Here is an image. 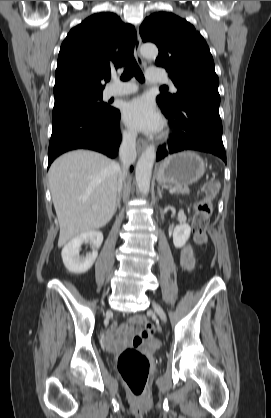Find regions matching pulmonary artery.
<instances>
[{"label": "pulmonary artery", "mask_w": 271, "mask_h": 418, "mask_svg": "<svg viewBox=\"0 0 271 418\" xmlns=\"http://www.w3.org/2000/svg\"><path fill=\"white\" fill-rule=\"evenodd\" d=\"M146 77L148 81L152 83H167L168 80L165 75H163L157 69H148L146 72ZM171 89L175 91V87L172 85ZM137 90V87L134 84L125 83V84H118L111 86L106 91V95L108 97H117V96H125L134 93Z\"/></svg>", "instance_id": "pulmonary-artery-1"}]
</instances>
